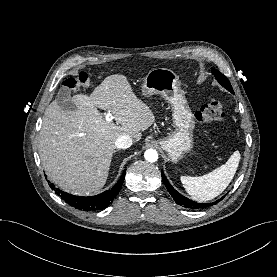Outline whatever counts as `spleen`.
Masks as SVG:
<instances>
[{"mask_svg": "<svg viewBox=\"0 0 277 277\" xmlns=\"http://www.w3.org/2000/svg\"><path fill=\"white\" fill-rule=\"evenodd\" d=\"M240 161L239 151H235L228 161L212 172L199 176H181L187 193L195 200L204 202L220 195L232 181Z\"/></svg>", "mask_w": 277, "mask_h": 277, "instance_id": "obj_1", "label": "spleen"}]
</instances>
